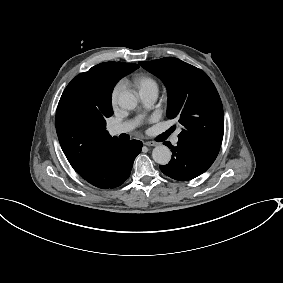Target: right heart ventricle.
I'll use <instances>...</instances> for the list:
<instances>
[{
    "label": "right heart ventricle",
    "mask_w": 283,
    "mask_h": 283,
    "mask_svg": "<svg viewBox=\"0 0 283 283\" xmlns=\"http://www.w3.org/2000/svg\"><path fill=\"white\" fill-rule=\"evenodd\" d=\"M126 82L135 86L139 92L148 88H157V82L148 74L137 71L132 73L127 79Z\"/></svg>",
    "instance_id": "1"
}]
</instances>
